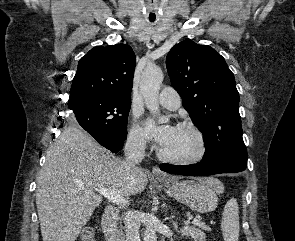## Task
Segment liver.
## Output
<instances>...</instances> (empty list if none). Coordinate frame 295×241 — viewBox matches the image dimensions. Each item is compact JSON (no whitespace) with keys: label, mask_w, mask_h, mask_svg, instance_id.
Masks as SVG:
<instances>
[{"label":"liver","mask_w":295,"mask_h":241,"mask_svg":"<svg viewBox=\"0 0 295 241\" xmlns=\"http://www.w3.org/2000/svg\"><path fill=\"white\" fill-rule=\"evenodd\" d=\"M200 181L213 185L214 178ZM148 178L140 169L126 176L123 161L78 127L64 130L48 149L37 179L36 205L43 241H75L105 187L122 197L141 193Z\"/></svg>","instance_id":"obj_1"}]
</instances>
